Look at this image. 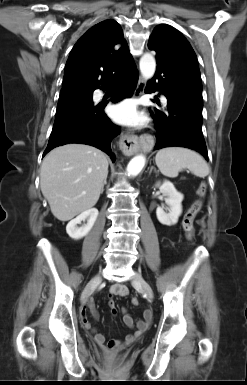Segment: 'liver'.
Returning a JSON list of instances; mask_svg holds the SVG:
<instances>
[{"instance_id":"1","label":"liver","mask_w":247,"mask_h":385,"mask_svg":"<svg viewBox=\"0 0 247 385\" xmlns=\"http://www.w3.org/2000/svg\"><path fill=\"white\" fill-rule=\"evenodd\" d=\"M107 174L108 159L101 150L66 144L45 156L40 187L52 214L64 222L97 203Z\"/></svg>"}]
</instances>
